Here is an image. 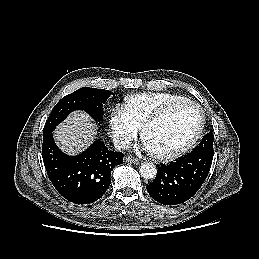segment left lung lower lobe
<instances>
[{
  "label": "left lung lower lobe",
  "mask_w": 259,
  "mask_h": 259,
  "mask_svg": "<svg viewBox=\"0 0 259 259\" xmlns=\"http://www.w3.org/2000/svg\"><path fill=\"white\" fill-rule=\"evenodd\" d=\"M213 154L192 151L176 162L161 164L155 180L146 186L154 200L176 205L190 199L204 183L211 168Z\"/></svg>",
  "instance_id": "left-lung-lower-lobe-1"
}]
</instances>
